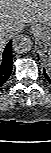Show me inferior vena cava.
I'll use <instances>...</instances> for the list:
<instances>
[{
    "label": "inferior vena cava",
    "mask_w": 51,
    "mask_h": 153,
    "mask_svg": "<svg viewBox=\"0 0 51 153\" xmlns=\"http://www.w3.org/2000/svg\"><path fill=\"white\" fill-rule=\"evenodd\" d=\"M21 30L22 29L16 30V32L14 33V36H16L17 34H19ZM7 38H8L7 33H5V32L0 33V46H2V45L5 44Z\"/></svg>",
    "instance_id": "602c4592"
}]
</instances>
